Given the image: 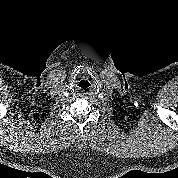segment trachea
<instances>
[{
    "instance_id": "1",
    "label": "trachea",
    "mask_w": 178,
    "mask_h": 178,
    "mask_svg": "<svg viewBox=\"0 0 178 178\" xmlns=\"http://www.w3.org/2000/svg\"><path fill=\"white\" fill-rule=\"evenodd\" d=\"M78 88L82 91L87 90L91 84L88 80H80L77 84Z\"/></svg>"
}]
</instances>
